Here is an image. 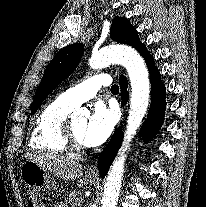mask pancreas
<instances>
[{
  "instance_id": "obj_1",
  "label": "pancreas",
  "mask_w": 206,
  "mask_h": 207,
  "mask_svg": "<svg viewBox=\"0 0 206 207\" xmlns=\"http://www.w3.org/2000/svg\"><path fill=\"white\" fill-rule=\"evenodd\" d=\"M82 193L80 191L72 192L66 203H57L54 207H80L82 204Z\"/></svg>"
}]
</instances>
